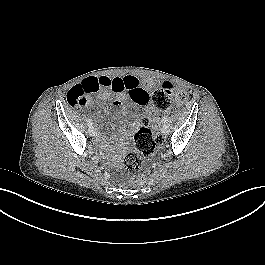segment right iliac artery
Wrapping results in <instances>:
<instances>
[{
  "mask_svg": "<svg viewBox=\"0 0 265 265\" xmlns=\"http://www.w3.org/2000/svg\"><path fill=\"white\" fill-rule=\"evenodd\" d=\"M92 124H93L92 120L88 119L87 120V125H88L89 128H91Z\"/></svg>",
  "mask_w": 265,
  "mask_h": 265,
  "instance_id": "82829eb1",
  "label": "right iliac artery"
}]
</instances>
